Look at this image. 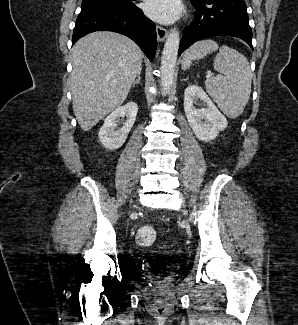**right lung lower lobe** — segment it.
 Returning <instances> with one entry per match:
<instances>
[{
  "instance_id": "98d812e1",
  "label": "right lung lower lobe",
  "mask_w": 298,
  "mask_h": 325,
  "mask_svg": "<svg viewBox=\"0 0 298 325\" xmlns=\"http://www.w3.org/2000/svg\"><path fill=\"white\" fill-rule=\"evenodd\" d=\"M98 30L114 31L136 42L152 61L157 47L155 24L135 5L131 8L81 12L73 31L72 44Z\"/></svg>"
}]
</instances>
